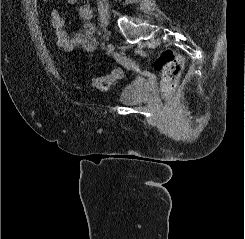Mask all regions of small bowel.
<instances>
[{"mask_svg":"<svg viewBox=\"0 0 245 239\" xmlns=\"http://www.w3.org/2000/svg\"><path fill=\"white\" fill-rule=\"evenodd\" d=\"M80 0H67L70 4H76ZM82 25L78 31H69L67 22L60 12L53 9L50 13V19L56 34L57 45L65 51L71 52L81 50L92 52L96 47L94 37L95 26L92 22L93 9L88 2H83L78 8Z\"/></svg>","mask_w":245,"mask_h":239,"instance_id":"1","label":"small bowel"}]
</instances>
